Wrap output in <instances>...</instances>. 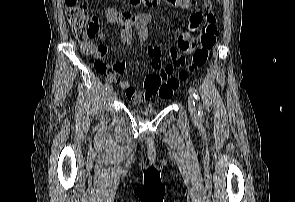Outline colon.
<instances>
[{"label": "colon", "instance_id": "1", "mask_svg": "<svg viewBox=\"0 0 295 202\" xmlns=\"http://www.w3.org/2000/svg\"><path fill=\"white\" fill-rule=\"evenodd\" d=\"M158 0H130L133 5L141 3L147 6H155ZM66 15L68 23L75 38L81 43V46L91 44V41L98 32V26L93 16L88 14L87 7L77 2V0H66ZM218 35V29L215 23L211 22L203 27L200 36V45L195 50L192 63L188 71H181L177 77L170 73L151 74L147 79H143L145 90H151L158 94L162 99H170L181 82L187 81L191 72L203 67L207 60L209 52L214 48ZM179 63L183 58H179Z\"/></svg>", "mask_w": 295, "mask_h": 202}]
</instances>
